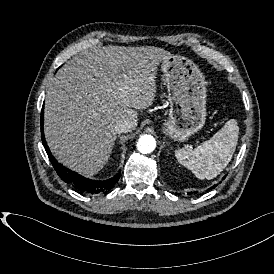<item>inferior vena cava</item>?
<instances>
[{"label": "inferior vena cava", "instance_id": "1", "mask_svg": "<svg viewBox=\"0 0 274 274\" xmlns=\"http://www.w3.org/2000/svg\"><path fill=\"white\" fill-rule=\"evenodd\" d=\"M137 126V121L136 120H131V119H123V120H118L114 124V130L116 133H127L131 132L134 130Z\"/></svg>", "mask_w": 274, "mask_h": 274}]
</instances>
